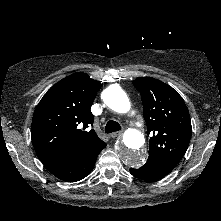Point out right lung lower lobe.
I'll use <instances>...</instances> for the list:
<instances>
[{"instance_id":"98d812e1","label":"right lung lower lobe","mask_w":221,"mask_h":221,"mask_svg":"<svg viewBox=\"0 0 221 221\" xmlns=\"http://www.w3.org/2000/svg\"><path fill=\"white\" fill-rule=\"evenodd\" d=\"M105 147L106 143L102 141L75 157L45 166L57 178L67 182H76L86 177L92 171L98 154Z\"/></svg>"}]
</instances>
